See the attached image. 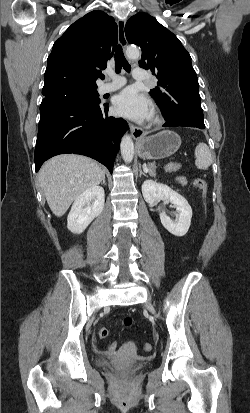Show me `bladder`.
Segmentation results:
<instances>
[{
    "label": "bladder",
    "mask_w": 250,
    "mask_h": 413,
    "mask_svg": "<svg viewBox=\"0 0 250 413\" xmlns=\"http://www.w3.org/2000/svg\"><path fill=\"white\" fill-rule=\"evenodd\" d=\"M97 364L100 367H107V368H111V367H118L121 366L123 368H125L127 371L129 372H135L138 371L140 369H142L144 367L143 364L141 363H133V364H127V365H120L116 360L108 358V357H100L97 359Z\"/></svg>",
    "instance_id": "bladder-1"
}]
</instances>
